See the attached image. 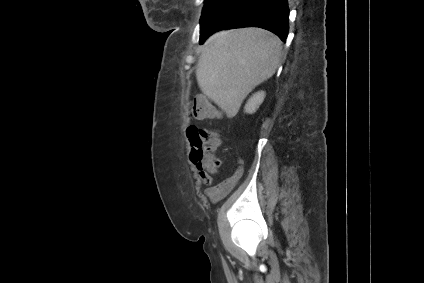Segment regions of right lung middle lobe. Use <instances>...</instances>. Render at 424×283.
Returning a JSON list of instances; mask_svg holds the SVG:
<instances>
[{
	"label": "right lung middle lobe",
	"mask_w": 424,
	"mask_h": 283,
	"mask_svg": "<svg viewBox=\"0 0 424 283\" xmlns=\"http://www.w3.org/2000/svg\"><path fill=\"white\" fill-rule=\"evenodd\" d=\"M228 0H205V5L200 19V28L207 23L225 6Z\"/></svg>",
	"instance_id": "obj_1"
}]
</instances>
